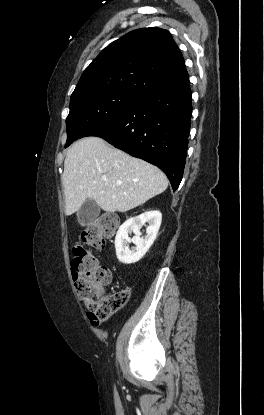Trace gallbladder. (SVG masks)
Segmentation results:
<instances>
[{"mask_svg": "<svg viewBox=\"0 0 264 415\" xmlns=\"http://www.w3.org/2000/svg\"><path fill=\"white\" fill-rule=\"evenodd\" d=\"M100 213L99 205L92 199H87L77 212L78 223L82 226L94 221Z\"/></svg>", "mask_w": 264, "mask_h": 415, "instance_id": "obj_1", "label": "gallbladder"}]
</instances>
